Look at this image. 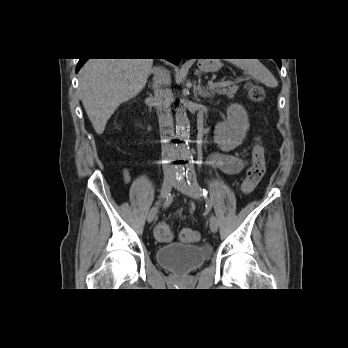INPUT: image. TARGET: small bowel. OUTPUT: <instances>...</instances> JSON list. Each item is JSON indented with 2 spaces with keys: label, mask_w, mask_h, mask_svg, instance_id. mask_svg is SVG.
I'll use <instances>...</instances> for the list:
<instances>
[{
  "label": "small bowel",
  "mask_w": 348,
  "mask_h": 348,
  "mask_svg": "<svg viewBox=\"0 0 348 348\" xmlns=\"http://www.w3.org/2000/svg\"><path fill=\"white\" fill-rule=\"evenodd\" d=\"M210 164L229 175H236L240 173L245 167V162L243 159L236 155L224 153H215L210 158ZM122 173L124 177V182L129 183V170L127 168H124Z\"/></svg>",
  "instance_id": "1"
}]
</instances>
